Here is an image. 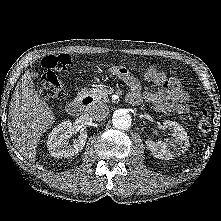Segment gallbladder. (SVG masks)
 Returning <instances> with one entry per match:
<instances>
[{
  "mask_svg": "<svg viewBox=\"0 0 221 221\" xmlns=\"http://www.w3.org/2000/svg\"><path fill=\"white\" fill-rule=\"evenodd\" d=\"M32 77L36 78L38 74L36 72H31Z\"/></svg>",
  "mask_w": 221,
  "mask_h": 221,
  "instance_id": "obj_1",
  "label": "gallbladder"
}]
</instances>
